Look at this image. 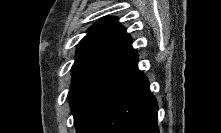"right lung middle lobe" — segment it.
<instances>
[{"label": "right lung middle lobe", "instance_id": "right-lung-middle-lobe-1", "mask_svg": "<svg viewBox=\"0 0 221 133\" xmlns=\"http://www.w3.org/2000/svg\"><path fill=\"white\" fill-rule=\"evenodd\" d=\"M101 75L100 73L76 74L72 72V86L70 96V107L74 114V121L80 106L88 93L92 83Z\"/></svg>", "mask_w": 221, "mask_h": 133}]
</instances>
